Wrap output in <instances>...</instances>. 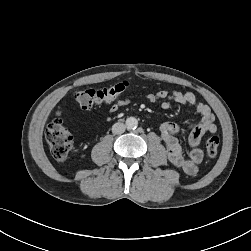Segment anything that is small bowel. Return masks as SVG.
Returning a JSON list of instances; mask_svg holds the SVG:
<instances>
[{
    "label": "small bowel",
    "instance_id": "1",
    "mask_svg": "<svg viewBox=\"0 0 251 251\" xmlns=\"http://www.w3.org/2000/svg\"><path fill=\"white\" fill-rule=\"evenodd\" d=\"M145 99L149 103L159 104L162 109H169L172 102L189 104L195 107L197 114L200 116V121L189 126L188 142L191 150L188 157L183 155L181 146L175 137L179 132L178 126L172 122H165L160 126V136L165 144L170 163L188 175H195L204 157L202 150L199 148L201 139L205 133H214L217 130L214 123L215 116L211 109L206 104L198 101L192 92L161 90L146 95ZM129 102L128 99L117 101L110 107L109 113H115Z\"/></svg>",
    "mask_w": 251,
    "mask_h": 251
}]
</instances>
